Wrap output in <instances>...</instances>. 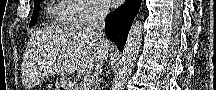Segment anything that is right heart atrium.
<instances>
[{
  "label": "right heart atrium",
  "mask_w": 216,
  "mask_h": 90,
  "mask_svg": "<svg viewBox=\"0 0 216 90\" xmlns=\"http://www.w3.org/2000/svg\"><path fill=\"white\" fill-rule=\"evenodd\" d=\"M66 3H74V6H82V11L78 16V20H97L104 9L95 0H65Z\"/></svg>",
  "instance_id": "1"
}]
</instances>
